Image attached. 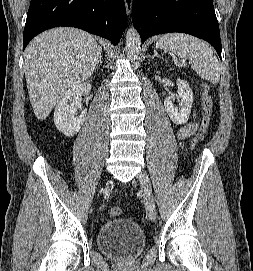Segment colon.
<instances>
[{
	"instance_id": "colon-1",
	"label": "colon",
	"mask_w": 253,
	"mask_h": 271,
	"mask_svg": "<svg viewBox=\"0 0 253 271\" xmlns=\"http://www.w3.org/2000/svg\"><path fill=\"white\" fill-rule=\"evenodd\" d=\"M202 108H203L202 124L191 140V147L193 149L196 148V146L204 139V137L206 136L211 127L213 117V100L207 88L203 89ZM108 213L111 217H118L121 215L122 209L120 207H112L109 209Z\"/></svg>"
}]
</instances>
